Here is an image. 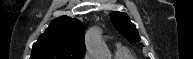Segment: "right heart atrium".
<instances>
[{
	"label": "right heart atrium",
	"mask_w": 193,
	"mask_h": 59,
	"mask_svg": "<svg viewBox=\"0 0 193 59\" xmlns=\"http://www.w3.org/2000/svg\"><path fill=\"white\" fill-rule=\"evenodd\" d=\"M85 59H90V55L88 53L85 55Z\"/></svg>",
	"instance_id": "right-heart-atrium-1"
}]
</instances>
